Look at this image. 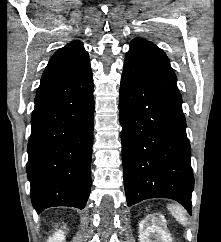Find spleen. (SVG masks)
Listing matches in <instances>:
<instances>
[{
	"label": "spleen",
	"mask_w": 221,
	"mask_h": 242,
	"mask_svg": "<svg viewBox=\"0 0 221 242\" xmlns=\"http://www.w3.org/2000/svg\"><path fill=\"white\" fill-rule=\"evenodd\" d=\"M168 210L174 216V218L183 226L187 225L186 212L183 207L177 204H169Z\"/></svg>",
	"instance_id": "1"
}]
</instances>
